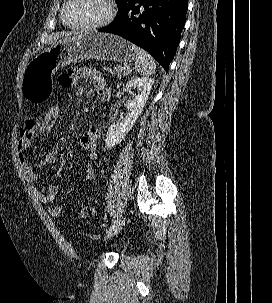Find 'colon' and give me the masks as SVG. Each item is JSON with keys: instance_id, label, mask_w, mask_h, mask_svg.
Returning <instances> with one entry per match:
<instances>
[{"instance_id": "5ec220e1", "label": "colon", "mask_w": 272, "mask_h": 303, "mask_svg": "<svg viewBox=\"0 0 272 303\" xmlns=\"http://www.w3.org/2000/svg\"><path fill=\"white\" fill-rule=\"evenodd\" d=\"M108 72H114L115 69L110 65L104 66ZM61 119V108L58 103L49 105L38 121V133L41 137H49L55 133ZM94 214L93 206H85L80 211L82 218H90Z\"/></svg>"}]
</instances>
